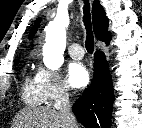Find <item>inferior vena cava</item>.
<instances>
[{"mask_svg":"<svg viewBox=\"0 0 142 128\" xmlns=\"http://www.w3.org/2000/svg\"><path fill=\"white\" fill-rule=\"evenodd\" d=\"M59 112L64 117L69 128H78L76 118L71 112V104L69 101V95L67 92L61 94L59 98Z\"/></svg>","mask_w":142,"mask_h":128,"instance_id":"inferior-vena-cava-1","label":"inferior vena cava"}]
</instances>
